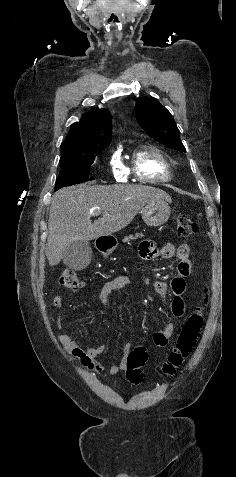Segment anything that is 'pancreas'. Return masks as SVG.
Segmentation results:
<instances>
[{
    "label": "pancreas",
    "mask_w": 236,
    "mask_h": 477,
    "mask_svg": "<svg viewBox=\"0 0 236 477\" xmlns=\"http://www.w3.org/2000/svg\"><path fill=\"white\" fill-rule=\"evenodd\" d=\"M140 236H142V235H140V234H136L135 236L129 235L128 237H125L124 241L133 240V239H136V238H138V237H140Z\"/></svg>",
    "instance_id": "pancreas-1"
}]
</instances>
